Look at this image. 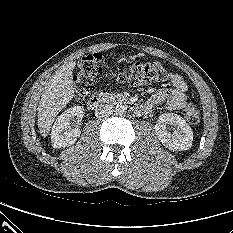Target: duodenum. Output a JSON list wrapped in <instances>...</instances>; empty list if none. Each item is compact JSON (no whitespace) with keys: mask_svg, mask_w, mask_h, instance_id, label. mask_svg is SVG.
<instances>
[{"mask_svg":"<svg viewBox=\"0 0 233 233\" xmlns=\"http://www.w3.org/2000/svg\"><path fill=\"white\" fill-rule=\"evenodd\" d=\"M113 101L118 105H122V106L130 108L137 114H143L146 112V109L143 106L137 105L136 103H134L133 101L129 99L120 97V98H115ZM104 103H105V99L99 96H92L88 100L87 106L90 110H98L99 108L103 106Z\"/></svg>","mask_w":233,"mask_h":233,"instance_id":"obj_1","label":"duodenum"}]
</instances>
